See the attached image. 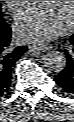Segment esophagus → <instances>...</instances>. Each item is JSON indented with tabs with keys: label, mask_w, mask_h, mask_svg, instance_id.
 Instances as JSON below:
<instances>
[{
	"label": "esophagus",
	"mask_w": 74,
	"mask_h": 122,
	"mask_svg": "<svg viewBox=\"0 0 74 122\" xmlns=\"http://www.w3.org/2000/svg\"><path fill=\"white\" fill-rule=\"evenodd\" d=\"M28 48H29V51L31 53H35V52H39V51L48 50L51 47L50 46H47V45L31 44V45L28 46Z\"/></svg>",
	"instance_id": "obj_1"
}]
</instances>
